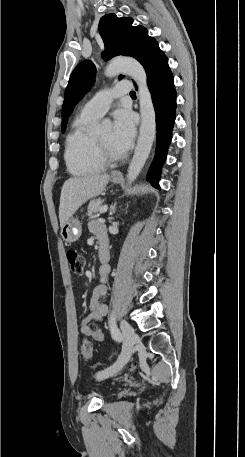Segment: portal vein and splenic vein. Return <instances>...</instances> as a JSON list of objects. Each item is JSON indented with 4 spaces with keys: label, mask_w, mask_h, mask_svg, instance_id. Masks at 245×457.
<instances>
[{
    "label": "portal vein and splenic vein",
    "mask_w": 245,
    "mask_h": 457,
    "mask_svg": "<svg viewBox=\"0 0 245 457\" xmlns=\"http://www.w3.org/2000/svg\"><path fill=\"white\" fill-rule=\"evenodd\" d=\"M107 208H108V204H104V206H100L99 212H106Z\"/></svg>",
    "instance_id": "obj_1"
}]
</instances>
